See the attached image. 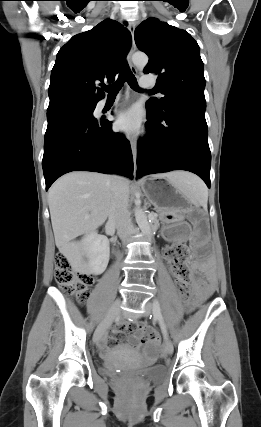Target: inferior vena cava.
I'll use <instances>...</instances> for the list:
<instances>
[{"label":"inferior vena cava","instance_id":"obj_1","mask_svg":"<svg viewBox=\"0 0 261 427\" xmlns=\"http://www.w3.org/2000/svg\"><path fill=\"white\" fill-rule=\"evenodd\" d=\"M129 188L121 176L112 177V198L109 208V223L113 224L122 240L134 233V227L128 212Z\"/></svg>","mask_w":261,"mask_h":427}]
</instances>
